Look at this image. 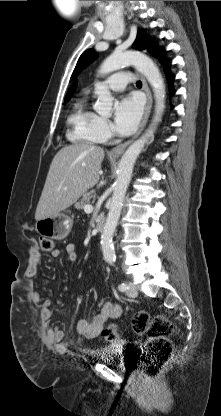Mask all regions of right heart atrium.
I'll list each match as a JSON object with an SVG mask.
<instances>
[{
	"label": "right heart atrium",
	"mask_w": 221,
	"mask_h": 416,
	"mask_svg": "<svg viewBox=\"0 0 221 416\" xmlns=\"http://www.w3.org/2000/svg\"><path fill=\"white\" fill-rule=\"evenodd\" d=\"M97 129L98 132L100 134V136L104 139L107 140L112 136V127L110 122L102 117H99L98 119V124H97Z\"/></svg>",
	"instance_id": "1"
}]
</instances>
